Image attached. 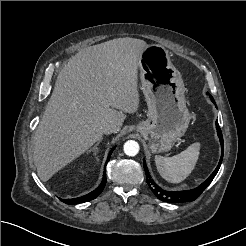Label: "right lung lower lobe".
I'll return each mask as SVG.
<instances>
[{"label": "right lung lower lobe", "instance_id": "1", "mask_svg": "<svg viewBox=\"0 0 246 246\" xmlns=\"http://www.w3.org/2000/svg\"><path fill=\"white\" fill-rule=\"evenodd\" d=\"M113 150H114V148L110 151V153L108 155V158H107V161H106V164L110 160V156H111ZM105 171L106 170L104 169V175H103V179H102L101 184L94 191H92L91 193H89L87 195H84L82 197H78V198H74V199H62V201L64 203H66V204H71L72 205V204H78V203H82V202H87V201H90V200L96 198L102 192V190L105 187V184H106V173H105Z\"/></svg>", "mask_w": 246, "mask_h": 246}]
</instances>
